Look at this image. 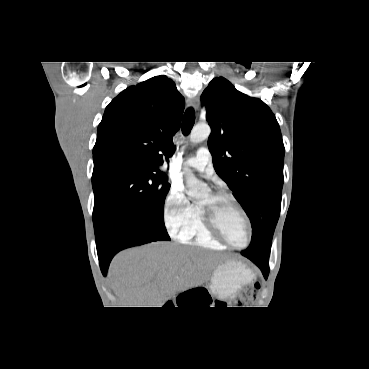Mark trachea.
<instances>
[{
  "label": "trachea",
  "instance_id": "1",
  "mask_svg": "<svg viewBox=\"0 0 369 369\" xmlns=\"http://www.w3.org/2000/svg\"><path fill=\"white\" fill-rule=\"evenodd\" d=\"M194 122H195V111L192 107H190L185 111L182 120V132L185 136H187L190 133L191 129L193 128Z\"/></svg>",
  "mask_w": 369,
  "mask_h": 369
}]
</instances>
